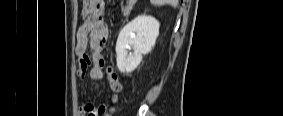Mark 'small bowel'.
<instances>
[{"label": "small bowel", "mask_w": 283, "mask_h": 116, "mask_svg": "<svg viewBox=\"0 0 283 116\" xmlns=\"http://www.w3.org/2000/svg\"><path fill=\"white\" fill-rule=\"evenodd\" d=\"M102 0H86L82 11L83 21L76 33L75 53L79 66L77 75L84 79L87 75L93 81L103 78L105 60L103 48L108 38V28L105 22ZM82 112L87 116H109L107 104L98 107L91 103L82 104Z\"/></svg>", "instance_id": "obj_1"}]
</instances>
